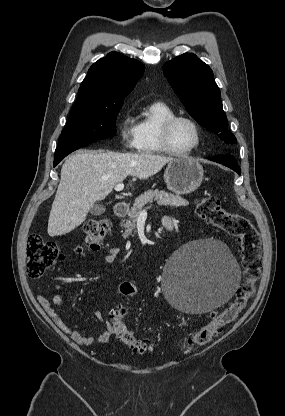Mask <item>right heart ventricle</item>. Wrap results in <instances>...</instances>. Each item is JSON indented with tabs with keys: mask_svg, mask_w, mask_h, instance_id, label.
<instances>
[{
	"mask_svg": "<svg viewBox=\"0 0 285 416\" xmlns=\"http://www.w3.org/2000/svg\"><path fill=\"white\" fill-rule=\"evenodd\" d=\"M172 108L163 100L153 101L137 117V131L139 135V151L145 154H161L165 150L160 139L162 123L174 115Z\"/></svg>",
	"mask_w": 285,
	"mask_h": 416,
	"instance_id": "1",
	"label": "right heart ventricle"
}]
</instances>
